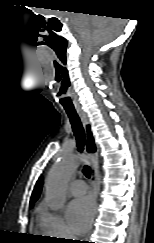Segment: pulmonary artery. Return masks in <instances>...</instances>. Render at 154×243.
<instances>
[{"label":"pulmonary artery","mask_w":154,"mask_h":243,"mask_svg":"<svg viewBox=\"0 0 154 243\" xmlns=\"http://www.w3.org/2000/svg\"><path fill=\"white\" fill-rule=\"evenodd\" d=\"M87 186L83 180H75L70 185V193L73 196H81L86 192Z\"/></svg>","instance_id":"e3ab8cb5"}]
</instances>
